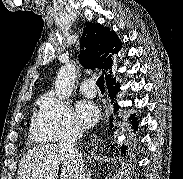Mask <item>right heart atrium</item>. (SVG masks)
<instances>
[{"label": "right heart atrium", "instance_id": "obj_1", "mask_svg": "<svg viewBox=\"0 0 183 179\" xmlns=\"http://www.w3.org/2000/svg\"><path fill=\"white\" fill-rule=\"evenodd\" d=\"M82 129L70 106L52 95L43 98L41 109L32 125L33 134L48 141H58Z\"/></svg>", "mask_w": 183, "mask_h": 179}]
</instances>
